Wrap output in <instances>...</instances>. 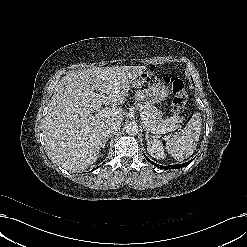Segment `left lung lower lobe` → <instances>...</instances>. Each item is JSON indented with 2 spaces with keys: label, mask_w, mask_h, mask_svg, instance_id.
<instances>
[{
  "label": "left lung lower lobe",
  "mask_w": 247,
  "mask_h": 247,
  "mask_svg": "<svg viewBox=\"0 0 247 247\" xmlns=\"http://www.w3.org/2000/svg\"><path fill=\"white\" fill-rule=\"evenodd\" d=\"M145 158H146L148 161H150L146 156H145ZM150 162H151L152 164H154L155 166L159 167L160 169L168 170V169H176V168L185 167V166L189 165V164L192 162V160H190L189 162H186V163H184V164L169 165V166H161V165H158V164H156V163H154V162H152V161H150Z\"/></svg>",
  "instance_id": "left-lung-lower-lobe-1"
}]
</instances>
